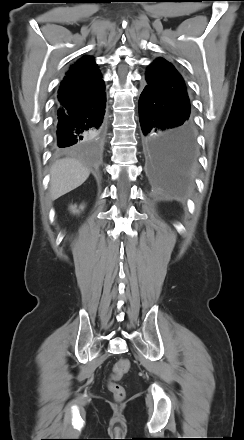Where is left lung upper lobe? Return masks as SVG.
<instances>
[{
	"label": "left lung upper lobe",
	"mask_w": 244,
	"mask_h": 440,
	"mask_svg": "<svg viewBox=\"0 0 244 440\" xmlns=\"http://www.w3.org/2000/svg\"><path fill=\"white\" fill-rule=\"evenodd\" d=\"M147 86L181 110L190 112V103L183 78L174 66L163 58L156 59L147 68Z\"/></svg>",
	"instance_id": "left-lung-upper-lobe-1"
}]
</instances>
